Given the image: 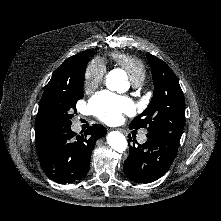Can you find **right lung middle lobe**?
<instances>
[{
  "label": "right lung middle lobe",
  "instance_id": "dd1d6c3e",
  "mask_svg": "<svg viewBox=\"0 0 221 221\" xmlns=\"http://www.w3.org/2000/svg\"><path fill=\"white\" fill-rule=\"evenodd\" d=\"M88 62V61H87ZM87 62L72 79L46 87L39 104L37 117L50 132L71 126L76 103L84 95L83 83Z\"/></svg>",
  "mask_w": 221,
  "mask_h": 221
}]
</instances>
